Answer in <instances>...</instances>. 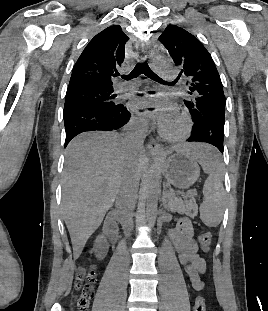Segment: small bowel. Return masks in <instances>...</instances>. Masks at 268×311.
<instances>
[{
    "instance_id": "small-bowel-1",
    "label": "small bowel",
    "mask_w": 268,
    "mask_h": 311,
    "mask_svg": "<svg viewBox=\"0 0 268 311\" xmlns=\"http://www.w3.org/2000/svg\"><path fill=\"white\" fill-rule=\"evenodd\" d=\"M169 237L178 253L179 263L189 277L193 289L204 288L201 275L206 272V262L198 254V245L194 237L192 222L187 217L178 220L176 227L170 229Z\"/></svg>"
}]
</instances>
